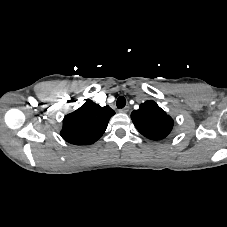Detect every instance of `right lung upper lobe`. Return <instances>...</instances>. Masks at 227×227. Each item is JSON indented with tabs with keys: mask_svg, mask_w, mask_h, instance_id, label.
Here are the masks:
<instances>
[{
	"mask_svg": "<svg viewBox=\"0 0 227 227\" xmlns=\"http://www.w3.org/2000/svg\"><path fill=\"white\" fill-rule=\"evenodd\" d=\"M115 114L109 106L101 107L88 100L63 120L61 136L75 145H90L101 138L110 118Z\"/></svg>",
	"mask_w": 227,
	"mask_h": 227,
	"instance_id": "right-lung-upper-lobe-1",
	"label": "right lung upper lobe"
}]
</instances>
